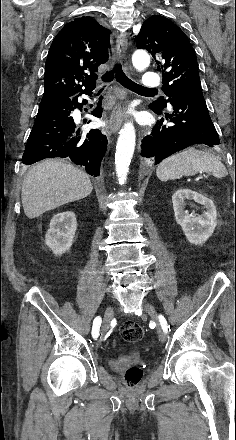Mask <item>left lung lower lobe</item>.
I'll use <instances>...</instances> for the list:
<instances>
[{"instance_id": "obj_1", "label": "left lung lower lobe", "mask_w": 236, "mask_h": 440, "mask_svg": "<svg viewBox=\"0 0 236 440\" xmlns=\"http://www.w3.org/2000/svg\"><path fill=\"white\" fill-rule=\"evenodd\" d=\"M172 114L150 107L156 114L165 115L142 139L141 156L160 163L177 151L196 144L210 147L220 144L218 133L210 118L201 87L175 94L169 101Z\"/></svg>"}]
</instances>
